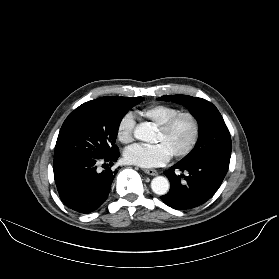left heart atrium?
<instances>
[{
  "mask_svg": "<svg viewBox=\"0 0 279 279\" xmlns=\"http://www.w3.org/2000/svg\"><path fill=\"white\" fill-rule=\"evenodd\" d=\"M124 156L128 163L147 168L165 164L172 154L164 143L159 142L154 145H133L125 151Z\"/></svg>",
  "mask_w": 279,
  "mask_h": 279,
  "instance_id": "1",
  "label": "left heart atrium"
}]
</instances>
